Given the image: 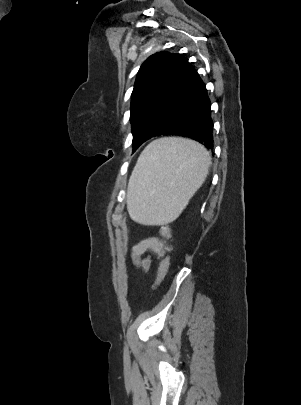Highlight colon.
Returning <instances> with one entry per match:
<instances>
[{
	"mask_svg": "<svg viewBox=\"0 0 301 405\" xmlns=\"http://www.w3.org/2000/svg\"><path fill=\"white\" fill-rule=\"evenodd\" d=\"M160 233L164 238H166L168 240H170L172 238L171 228L166 224H164L160 227ZM169 265H170V257H169V255H166L160 262V265L158 268V273H157V278L151 287V291H154L155 289H157V287H159L160 284L163 282V280L165 279L166 274L168 272Z\"/></svg>",
	"mask_w": 301,
	"mask_h": 405,
	"instance_id": "1",
	"label": "colon"
}]
</instances>
